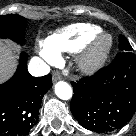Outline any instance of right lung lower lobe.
Wrapping results in <instances>:
<instances>
[{
	"instance_id": "98d812e1",
	"label": "right lung lower lobe",
	"mask_w": 136,
	"mask_h": 136,
	"mask_svg": "<svg viewBox=\"0 0 136 136\" xmlns=\"http://www.w3.org/2000/svg\"><path fill=\"white\" fill-rule=\"evenodd\" d=\"M21 53L14 76L0 85V136H23L37 123L43 96L52 87L51 75L33 77Z\"/></svg>"
}]
</instances>
